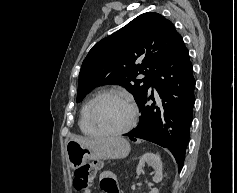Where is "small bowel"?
Instances as JSON below:
<instances>
[{"label":"small bowel","instance_id":"c3829d8e","mask_svg":"<svg viewBox=\"0 0 237 193\" xmlns=\"http://www.w3.org/2000/svg\"><path fill=\"white\" fill-rule=\"evenodd\" d=\"M100 187L104 193H119L116 176L111 171H104L100 175ZM86 193H91L90 190Z\"/></svg>","mask_w":237,"mask_h":193}]
</instances>
